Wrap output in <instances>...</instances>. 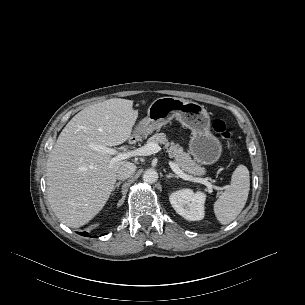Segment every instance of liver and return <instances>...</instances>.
Segmentation results:
<instances>
[{
    "instance_id": "1",
    "label": "liver",
    "mask_w": 305,
    "mask_h": 305,
    "mask_svg": "<svg viewBox=\"0 0 305 305\" xmlns=\"http://www.w3.org/2000/svg\"><path fill=\"white\" fill-rule=\"evenodd\" d=\"M138 117L133 101L112 98L86 107L60 133L46 167L47 196L55 215L71 228L92 220L104 207L120 166L112 155L89 144L116 146L127 141Z\"/></svg>"
}]
</instances>
